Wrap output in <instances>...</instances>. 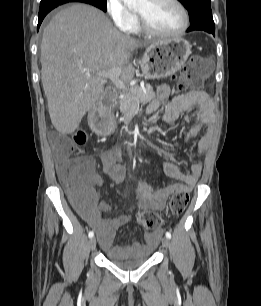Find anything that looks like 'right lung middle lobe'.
Returning <instances> with one entry per match:
<instances>
[{
	"mask_svg": "<svg viewBox=\"0 0 261 306\" xmlns=\"http://www.w3.org/2000/svg\"><path fill=\"white\" fill-rule=\"evenodd\" d=\"M54 1H58V0H41V4H45V3H49V2H54ZM85 3H89L92 4L100 9H102L103 11H106V0H85Z\"/></svg>",
	"mask_w": 261,
	"mask_h": 306,
	"instance_id": "dd1d6c3e",
	"label": "right lung middle lobe"
}]
</instances>
